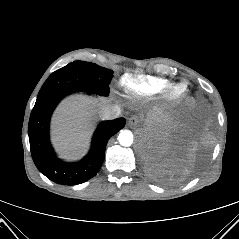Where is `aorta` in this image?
<instances>
[{"instance_id":"1","label":"aorta","mask_w":239,"mask_h":239,"mask_svg":"<svg viewBox=\"0 0 239 239\" xmlns=\"http://www.w3.org/2000/svg\"><path fill=\"white\" fill-rule=\"evenodd\" d=\"M117 139L121 146L129 147L133 144V133L130 130H121Z\"/></svg>"}]
</instances>
